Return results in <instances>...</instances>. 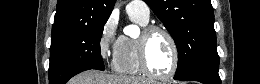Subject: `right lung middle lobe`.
<instances>
[{"label":"right lung middle lobe","instance_id":"dd1d6c3e","mask_svg":"<svg viewBox=\"0 0 260 84\" xmlns=\"http://www.w3.org/2000/svg\"><path fill=\"white\" fill-rule=\"evenodd\" d=\"M107 20L82 24L52 35L50 47V84H65L85 70H104L100 40Z\"/></svg>","mask_w":260,"mask_h":84}]
</instances>
